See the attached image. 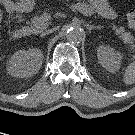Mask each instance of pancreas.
<instances>
[{
  "instance_id": "cf45deb5",
  "label": "pancreas",
  "mask_w": 135,
  "mask_h": 135,
  "mask_svg": "<svg viewBox=\"0 0 135 135\" xmlns=\"http://www.w3.org/2000/svg\"><path fill=\"white\" fill-rule=\"evenodd\" d=\"M49 18H50V16L46 13H44L40 16H35L32 19L30 26L28 27L29 31L32 33H38V32L43 31L48 26ZM112 28H113V30H115V34L119 35V38L125 44H127L131 50L135 48V45L133 44V38L130 33L125 32L123 27H117V26L113 25Z\"/></svg>"
}]
</instances>
